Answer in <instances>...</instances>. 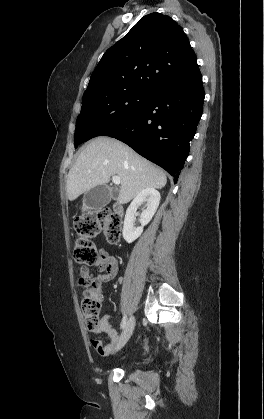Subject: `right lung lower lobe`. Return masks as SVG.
I'll list each match as a JSON object with an SVG mask.
<instances>
[{
    "label": "right lung lower lobe",
    "instance_id": "obj_1",
    "mask_svg": "<svg viewBox=\"0 0 264 419\" xmlns=\"http://www.w3.org/2000/svg\"><path fill=\"white\" fill-rule=\"evenodd\" d=\"M202 76L187 83H171L151 92L130 117L101 136L116 138L164 168L177 182L202 116Z\"/></svg>",
    "mask_w": 264,
    "mask_h": 419
}]
</instances>
